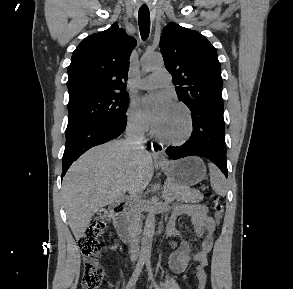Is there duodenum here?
<instances>
[{
  "instance_id": "410a0bca",
  "label": "duodenum",
  "mask_w": 293,
  "mask_h": 289,
  "mask_svg": "<svg viewBox=\"0 0 293 289\" xmlns=\"http://www.w3.org/2000/svg\"><path fill=\"white\" fill-rule=\"evenodd\" d=\"M127 203L125 201L111 207V215L114 221L115 228L121 240L125 244H134L141 238V231L136 224L126 214ZM164 226L159 225V230L162 231Z\"/></svg>"
}]
</instances>
